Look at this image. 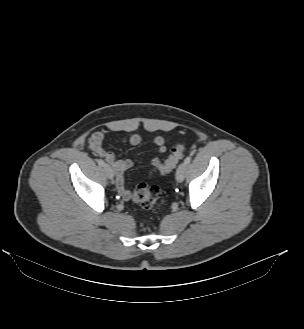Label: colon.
Instances as JSON below:
<instances>
[{
  "label": "colon",
  "instance_id": "5ec220e1",
  "mask_svg": "<svg viewBox=\"0 0 304 329\" xmlns=\"http://www.w3.org/2000/svg\"><path fill=\"white\" fill-rule=\"evenodd\" d=\"M184 151V144L175 145L172 148L168 159L164 163L155 166V170L160 174H167L171 172L183 158ZM132 199L136 204L145 210L152 208H163L167 204V199L162 197L159 187L149 186L145 183H140L135 187Z\"/></svg>",
  "mask_w": 304,
  "mask_h": 329
}]
</instances>
